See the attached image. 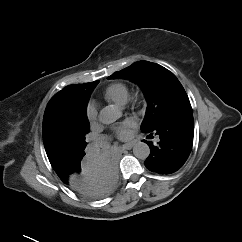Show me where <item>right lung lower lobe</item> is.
Listing matches in <instances>:
<instances>
[{"label":"right lung lower lobe","mask_w":242,"mask_h":242,"mask_svg":"<svg viewBox=\"0 0 242 242\" xmlns=\"http://www.w3.org/2000/svg\"><path fill=\"white\" fill-rule=\"evenodd\" d=\"M55 172L73 191L91 199L107 196L118 179L116 161L110 154L81 157Z\"/></svg>","instance_id":"1"}]
</instances>
